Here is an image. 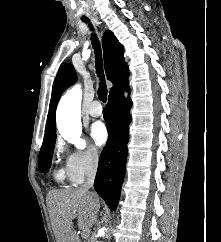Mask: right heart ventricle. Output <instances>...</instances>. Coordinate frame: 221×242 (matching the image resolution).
Instances as JSON below:
<instances>
[{
	"instance_id": "1",
	"label": "right heart ventricle",
	"mask_w": 221,
	"mask_h": 242,
	"mask_svg": "<svg viewBox=\"0 0 221 242\" xmlns=\"http://www.w3.org/2000/svg\"><path fill=\"white\" fill-rule=\"evenodd\" d=\"M64 174H65V171L63 169H57L55 172H54V176L57 180H63L64 178Z\"/></svg>"
}]
</instances>
